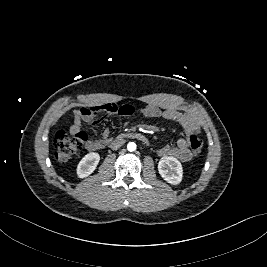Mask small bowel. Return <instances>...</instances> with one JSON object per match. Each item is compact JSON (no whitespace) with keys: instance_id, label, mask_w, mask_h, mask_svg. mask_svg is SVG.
<instances>
[{"instance_id":"small-bowel-1","label":"small bowel","mask_w":267,"mask_h":267,"mask_svg":"<svg viewBox=\"0 0 267 267\" xmlns=\"http://www.w3.org/2000/svg\"><path fill=\"white\" fill-rule=\"evenodd\" d=\"M119 114L121 116H129L134 113V107L131 105L117 106L114 104H104L98 106L82 107L74 111V120L70 125V131L77 133L82 131L83 122H91L98 114ZM143 116L147 118H163L166 120L174 121L178 123L183 131L184 137L177 140L175 145H165L159 149L160 156H172L181 161H188L191 156V150L189 147V137L191 135H198L200 133V127L193 115L187 112H180L173 108L161 109L154 104H148L141 109ZM101 120H95L94 125H100ZM110 141V131L104 129L101 136L97 139H87L86 148L89 151H96L104 148Z\"/></svg>"}]
</instances>
